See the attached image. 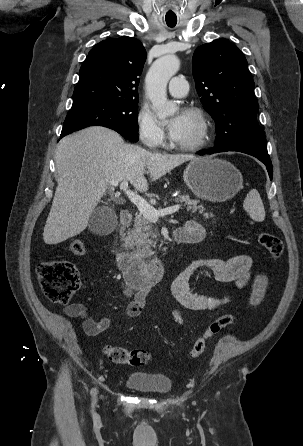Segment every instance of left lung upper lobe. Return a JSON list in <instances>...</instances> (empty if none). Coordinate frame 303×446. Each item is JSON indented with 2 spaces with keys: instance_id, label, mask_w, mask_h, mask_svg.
<instances>
[{
  "instance_id": "left-lung-upper-lobe-1",
  "label": "left lung upper lobe",
  "mask_w": 303,
  "mask_h": 446,
  "mask_svg": "<svg viewBox=\"0 0 303 446\" xmlns=\"http://www.w3.org/2000/svg\"><path fill=\"white\" fill-rule=\"evenodd\" d=\"M193 76L204 109L215 120V149L268 155L256 118L254 82L242 52L224 39L206 43L194 52Z\"/></svg>"
}]
</instances>
